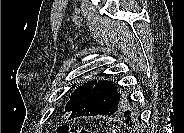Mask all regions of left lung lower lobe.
Here are the masks:
<instances>
[{"mask_svg":"<svg viewBox=\"0 0 184 133\" xmlns=\"http://www.w3.org/2000/svg\"><path fill=\"white\" fill-rule=\"evenodd\" d=\"M129 95L113 81L95 80L93 89L73 109L69 119L83 116H108L119 118L128 127L135 128L138 118L132 113L133 101Z\"/></svg>","mask_w":184,"mask_h":133,"instance_id":"obj_1","label":"left lung lower lobe"}]
</instances>
